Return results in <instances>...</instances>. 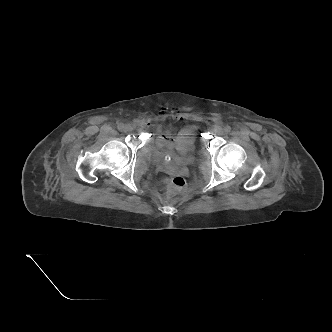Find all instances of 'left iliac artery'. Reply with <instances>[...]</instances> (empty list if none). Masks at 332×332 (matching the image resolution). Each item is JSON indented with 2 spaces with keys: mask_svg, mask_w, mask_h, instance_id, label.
Here are the masks:
<instances>
[{
  "mask_svg": "<svg viewBox=\"0 0 332 332\" xmlns=\"http://www.w3.org/2000/svg\"><path fill=\"white\" fill-rule=\"evenodd\" d=\"M224 130L226 133H229L231 131V127L227 125L224 127Z\"/></svg>",
  "mask_w": 332,
  "mask_h": 332,
  "instance_id": "left-iliac-artery-1",
  "label": "left iliac artery"
}]
</instances>
